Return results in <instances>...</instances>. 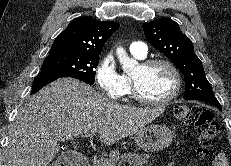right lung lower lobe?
<instances>
[{
    "instance_id": "obj_1",
    "label": "right lung lower lobe",
    "mask_w": 231,
    "mask_h": 166,
    "mask_svg": "<svg viewBox=\"0 0 231 166\" xmlns=\"http://www.w3.org/2000/svg\"><path fill=\"white\" fill-rule=\"evenodd\" d=\"M60 77H63V76L56 74V73H51V72H39V74L34 79L31 93L33 94L36 93L41 88H43L45 85L49 84L52 81L57 80Z\"/></svg>"
}]
</instances>
